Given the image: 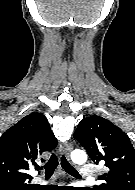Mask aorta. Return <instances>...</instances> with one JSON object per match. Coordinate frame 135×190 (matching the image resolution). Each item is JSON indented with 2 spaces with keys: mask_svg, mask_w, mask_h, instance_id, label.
Masks as SVG:
<instances>
[{
  "mask_svg": "<svg viewBox=\"0 0 135 190\" xmlns=\"http://www.w3.org/2000/svg\"><path fill=\"white\" fill-rule=\"evenodd\" d=\"M71 159H72L73 162L80 164V163L86 162L87 155L82 150H74L71 153Z\"/></svg>",
  "mask_w": 135,
  "mask_h": 190,
  "instance_id": "aorta-1",
  "label": "aorta"
}]
</instances>
